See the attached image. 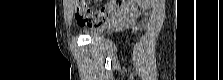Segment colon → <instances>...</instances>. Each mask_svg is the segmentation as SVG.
Returning a JSON list of instances; mask_svg holds the SVG:
<instances>
[{
	"label": "colon",
	"instance_id": "5ec220e1",
	"mask_svg": "<svg viewBox=\"0 0 223 80\" xmlns=\"http://www.w3.org/2000/svg\"><path fill=\"white\" fill-rule=\"evenodd\" d=\"M125 0H111L105 6L92 11L83 0H75V18L81 25L96 26L106 21L116 8L122 7Z\"/></svg>",
	"mask_w": 223,
	"mask_h": 80
}]
</instances>
